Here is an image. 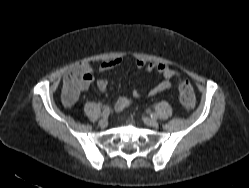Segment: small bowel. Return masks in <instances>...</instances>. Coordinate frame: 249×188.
<instances>
[{
    "instance_id": "1",
    "label": "small bowel",
    "mask_w": 249,
    "mask_h": 188,
    "mask_svg": "<svg viewBox=\"0 0 249 188\" xmlns=\"http://www.w3.org/2000/svg\"><path fill=\"white\" fill-rule=\"evenodd\" d=\"M122 63L121 58H115L111 60L104 61L100 64V71H108ZM137 68H146L149 72H158L162 75L163 80L155 85L148 91L149 96L157 95L163 91H167L172 89L171 79L179 78L180 73L172 68H170L167 64L157 63V62H149L146 63L142 59L136 60ZM71 71H75L76 74L74 76L71 75ZM69 73L64 76L63 85H64V103L67 106H71L77 100L79 94L86 90L94 81L92 75V69L89 64L81 63L72 68ZM71 83V84H70ZM97 88L100 91H105L108 87V81L106 79L100 78L96 80ZM140 97V92L138 89L134 88L132 90L131 96H121L119 97L115 103L114 108L117 111H122L128 108L134 99Z\"/></svg>"
}]
</instances>
